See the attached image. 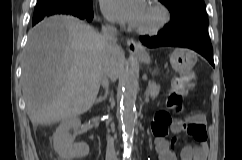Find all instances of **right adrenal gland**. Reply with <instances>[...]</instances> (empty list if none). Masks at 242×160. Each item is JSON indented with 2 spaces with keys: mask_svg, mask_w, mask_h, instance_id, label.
I'll use <instances>...</instances> for the list:
<instances>
[{
  "mask_svg": "<svg viewBox=\"0 0 242 160\" xmlns=\"http://www.w3.org/2000/svg\"><path fill=\"white\" fill-rule=\"evenodd\" d=\"M107 94H108V91L105 92V95H104V96H99V97L95 100V103H101V102H103V101L106 99Z\"/></svg>",
  "mask_w": 242,
  "mask_h": 160,
  "instance_id": "obj_1",
  "label": "right adrenal gland"
}]
</instances>
